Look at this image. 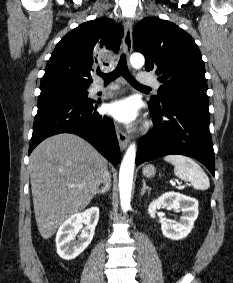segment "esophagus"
I'll return each instance as SVG.
<instances>
[{"label":"esophagus","instance_id":"1","mask_svg":"<svg viewBox=\"0 0 233 283\" xmlns=\"http://www.w3.org/2000/svg\"><path fill=\"white\" fill-rule=\"evenodd\" d=\"M132 30H133L132 22L130 20H127L124 26L125 33H124V38H123V49L127 56L131 54L132 47H133ZM116 134H117L120 148L124 150L127 147L128 143L130 142V136L126 134L118 126L116 127Z\"/></svg>","mask_w":233,"mask_h":283}]
</instances>
